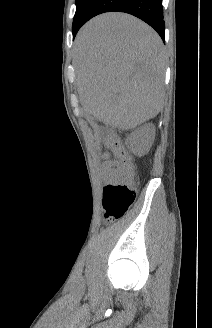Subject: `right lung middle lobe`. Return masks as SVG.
Listing matches in <instances>:
<instances>
[{"label": "right lung middle lobe", "mask_w": 212, "mask_h": 328, "mask_svg": "<svg viewBox=\"0 0 212 328\" xmlns=\"http://www.w3.org/2000/svg\"><path fill=\"white\" fill-rule=\"evenodd\" d=\"M95 0H76V13L73 20V32L81 26Z\"/></svg>", "instance_id": "1"}]
</instances>
